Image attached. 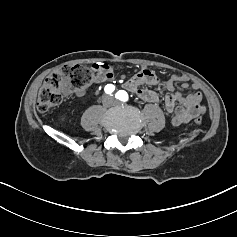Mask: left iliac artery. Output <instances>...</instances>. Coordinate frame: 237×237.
<instances>
[{"mask_svg":"<svg viewBox=\"0 0 237 237\" xmlns=\"http://www.w3.org/2000/svg\"><path fill=\"white\" fill-rule=\"evenodd\" d=\"M116 99H119L123 102L128 101V94L126 91L124 90H119L116 94H115Z\"/></svg>","mask_w":237,"mask_h":237,"instance_id":"44dca946","label":"left iliac artery"}]
</instances>
